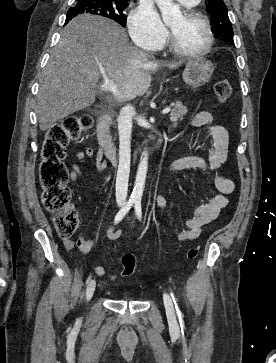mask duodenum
I'll return each mask as SVG.
<instances>
[{
  "instance_id": "duodenum-1",
  "label": "duodenum",
  "mask_w": 276,
  "mask_h": 363,
  "mask_svg": "<svg viewBox=\"0 0 276 363\" xmlns=\"http://www.w3.org/2000/svg\"><path fill=\"white\" fill-rule=\"evenodd\" d=\"M111 113L109 111H100L98 113L97 121V135L100 143V147L109 161L116 162L117 149L112 141L110 135ZM162 138H159L153 145V150L157 149L161 143Z\"/></svg>"
}]
</instances>
